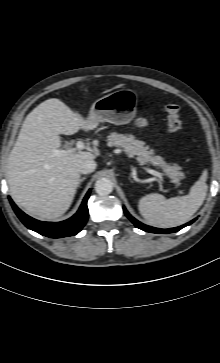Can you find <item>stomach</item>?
Returning a JSON list of instances; mask_svg holds the SVG:
<instances>
[{
  "instance_id": "stomach-1",
  "label": "stomach",
  "mask_w": 220,
  "mask_h": 363,
  "mask_svg": "<svg viewBox=\"0 0 220 363\" xmlns=\"http://www.w3.org/2000/svg\"><path fill=\"white\" fill-rule=\"evenodd\" d=\"M138 105V95L131 89L116 90L96 100L89 111L87 121L96 127L100 122L116 125L130 123Z\"/></svg>"
}]
</instances>
